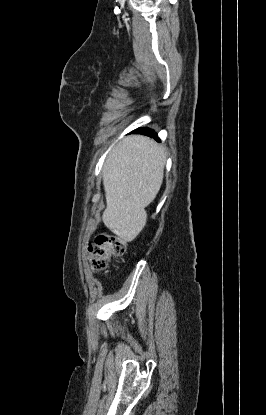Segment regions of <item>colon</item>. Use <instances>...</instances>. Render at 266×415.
I'll return each instance as SVG.
<instances>
[{"mask_svg": "<svg viewBox=\"0 0 266 415\" xmlns=\"http://www.w3.org/2000/svg\"><path fill=\"white\" fill-rule=\"evenodd\" d=\"M126 251V242L116 236L99 234L89 245V256L95 271L105 269L113 258H119Z\"/></svg>", "mask_w": 266, "mask_h": 415, "instance_id": "1", "label": "colon"}]
</instances>
